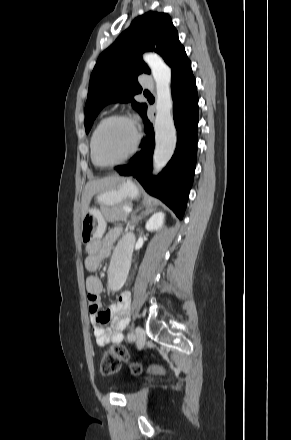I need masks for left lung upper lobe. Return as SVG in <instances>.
<instances>
[{"instance_id": "obj_1", "label": "left lung upper lobe", "mask_w": 291, "mask_h": 440, "mask_svg": "<svg viewBox=\"0 0 291 440\" xmlns=\"http://www.w3.org/2000/svg\"><path fill=\"white\" fill-rule=\"evenodd\" d=\"M155 51L172 68L185 53L171 17L149 11L135 18L117 40L99 56L92 71L85 105V129L88 133L99 111L110 102H131L143 117L147 105L134 100L141 93L138 75L150 73L142 53Z\"/></svg>"}]
</instances>
